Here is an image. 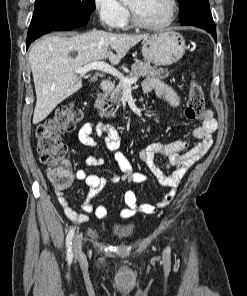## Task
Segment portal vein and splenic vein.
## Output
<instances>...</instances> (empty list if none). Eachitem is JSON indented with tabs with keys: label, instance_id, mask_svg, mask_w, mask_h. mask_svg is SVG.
<instances>
[{
	"label": "portal vein and splenic vein",
	"instance_id": "18ae733b",
	"mask_svg": "<svg viewBox=\"0 0 247 296\" xmlns=\"http://www.w3.org/2000/svg\"><path fill=\"white\" fill-rule=\"evenodd\" d=\"M91 70H98L102 71L108 74H111L115 77L119 78L120 83L122 84L124 89H130L131 85L135 82H137L138 77H133V78H127L125 77L122 73L117 71L114 67L110 66L109 64L103 62V61H98V62H91L88 63L80 68H77L75 72L80 75H84L87 72Z\"/></svg>",
	"mask_w": 247,
	"mask_h": 296
}]
</instances>
